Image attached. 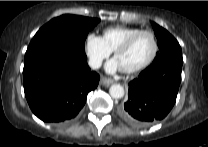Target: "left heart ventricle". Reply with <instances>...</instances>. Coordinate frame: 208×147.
<instances>
[{"label": "left heart ventricle", "mask_w": 208, "mask_h": 147, "mask_svg": "<svg viewBox=\"0 0 208 147\" xmlns=\"http://www.w3.org/2000/svg\"><path fill=\"white\" fill-rule=\"evenodd\" d=\"M154 49L153 39L150 35L139 36L125 52L119 54L116 59L121 68H133L146 62Z\"/></svg>", "instance_id": "left-heart-ventricle-1"}]
</instances>
